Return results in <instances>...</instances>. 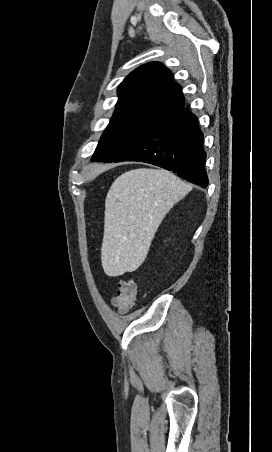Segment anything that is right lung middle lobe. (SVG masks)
I'll list each match as a JSON object with an SVG mask.
<instances>
[{
  "label": "right lung middle lobe",
  "instance_id": "obj_1",
  "mask_svg": "<svg viewBox=\"0 0 272 452\" xmlns=\"http://www.w3.org/2000/svg\"><path fill=\"white\" fill-rule=\"evenodd\" d=\"M159 116L145 112L114 115L101 136L92 161L113 162L128 150Z\"/></svg>",
  "mask_w": 272,
  "mask_h": 452
}]
</instances>
